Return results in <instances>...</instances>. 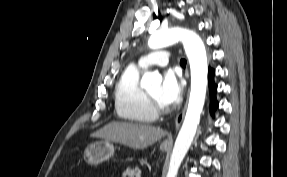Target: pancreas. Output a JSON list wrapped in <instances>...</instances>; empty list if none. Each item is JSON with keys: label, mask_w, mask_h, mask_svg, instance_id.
<instances>
[{"label": "pancreas", "mask_w": 287, "mask_h": 177, "mask_svg": "<svg viewBox=\"0 0 287 177\" xmlns=\"http://www.w3.org/2000/svg\"><path fill=\"white\" fill-rule=\"evenodd\" d=\"M140 170L139 168L135 167V168H127L126 170H124V172L122 173L123 177H140Z\"/></svg>", "instance_id": "1"}]
</instances>
